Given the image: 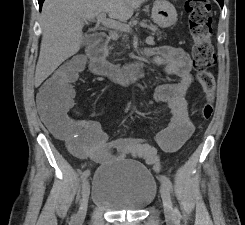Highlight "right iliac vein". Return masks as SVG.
<instances>
[{
  "instance_id": "right-iliac-vein-1",
  "label": "right iliac vein",
  "mask_w": 245,
  "mask_h": 225,
  "mask_svg": "<svg viewBox=\"0 0 245 225\" xmlns=\"http://www.w3.org/2000/svg\"><path fill=\"white\" fill-rule=\"evenodd\" d=\"M89 194H90L89 180L85 179L82 183L80 207L75 216V221H80L86 216Z\"/></svg>"
}]
</instances>
